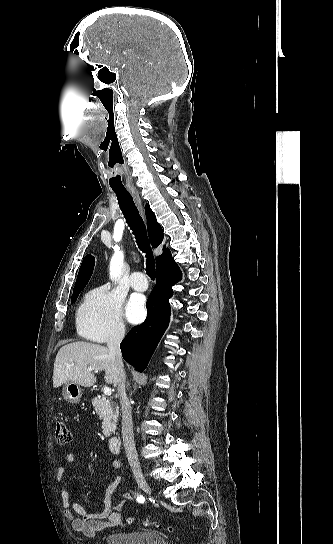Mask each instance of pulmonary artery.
I'll list each match as a JSON object with an SVG mask.
<instances>
[{
	"instance_id": "e3ab8cb5",
	"label": "pulmonary artery",
	"mask_w": 333,
	"mask_h": 544,
	"mask_svg": "<svg viewBox=\"0 0 333 544\" xmlns=\"http://www.w3.org/2000/svg\"><path fill=\"white\" fill-rule=\"evenodd\" d=\"M130 284L137 291H145L148 288V282L142 272H134L130 277Z\"/></svg>"
}]
</instances>
